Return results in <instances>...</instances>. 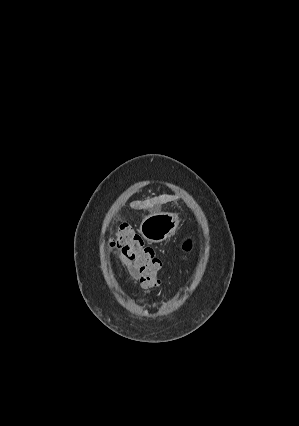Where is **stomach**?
Wrapping results in <instances>:
<instances>
[{"instance_id": "0dacf381", "label": "stomach", "mask_w": 299, "mask_h": 426, "mask_svg": "<svg viewBox=\"0 0 299 426\" xmlns=\"http://www.w3.org/2000/svg\"><path fill=\"white\" fill-rule=\"evenodd\" d=\"M180 221L177 213L154 212L143 218L139 232L149 242H162L175 234Z\"/></svg>"}]
</instances>
